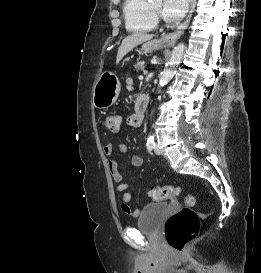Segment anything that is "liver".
<instances>
[{"instance_id":"obj_1","label":"liver","mask_w":261,"mask_h":273,"mask_svg":"<svg viewBox=\"0 0 261 273\" xmlns=\"http://www.w3.org/2000/svg\"><path fill=\"white\" fill-rule=\"evenodd\" d=\"M152 38L153 35L147 33H134L125 37L118 49L116 58L117 63H119L121 59L133 48H135L136 46L140 45L143 42L151 40Z\"/></svg>"}]
</instances>
